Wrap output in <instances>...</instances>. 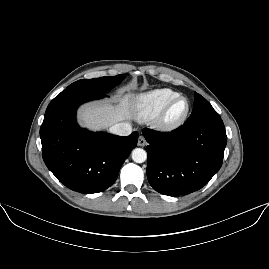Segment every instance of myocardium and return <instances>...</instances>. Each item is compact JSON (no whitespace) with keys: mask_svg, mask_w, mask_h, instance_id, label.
Returning <instances> with one entry per match:
<instances>
[{"mask_svg":"<svg viewBox=\"0 0 269 269\" xmlns=\"http://www.w3.org/2000/svg\"><path fill=\"white\" fill-rule=\"evenodd\" d=\"M179 100H185L186 107L183 113L177 117L172 116V110ZM190 105L185 97L178 96L169 102L165 110L158 117V125L162 130L173 131L178 129L186 120L189 113Z\"/></svg>","mask_w":269,"mask_h":269,"instance_id":"1","label":"myocardium"}]
</instances>
